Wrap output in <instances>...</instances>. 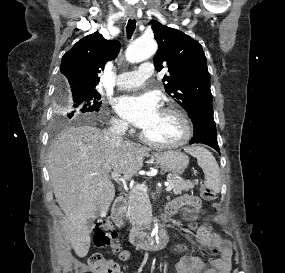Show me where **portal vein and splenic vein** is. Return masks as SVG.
I'll use <instances>...</instances> for the list:
<instances>
[{
  "label": "portal vein and splenic vein",
  "mask_w": 285,
  "mask_h": 273,
  "mask_svg": "<svg viewBox=\"0 0 285 273\" xmlns=\"http://www.w3.org/2000/svg\"><path fill=\"white\" fill-rule=\"evenodd\" d=\"M119 176L120 175L117 172H111V177L114 180H118ZM173 186L174 185L172 183L168 184L167 187H166V191L170 192L173 189ZM137 188L142 190V191H145V192L147 191V186L145 184L138 185Z\"/></svg>",
  "instance_id": "18ae733b"
}]
</instances>
